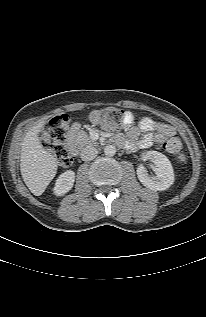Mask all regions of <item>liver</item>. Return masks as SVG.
<instances>
[{
    "instance_id": "6515ba94",
    "label": "liver",
    "mask_w": 206,
    "mask_h": 317,
    "mask_svg": "<svg viewBox=\"0 0 206 317\" xmlns=\"http://www.w3.org/2000/svg\"><path fill=\"white\" fill-rule=\"evenodd\" d=\"M45 121L33 126L27 133L21 146L20 171L28 189L40 196L57 173V159L47 152L38 138Z\"/></svg>"
}]
</instances>
